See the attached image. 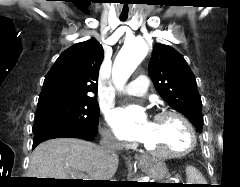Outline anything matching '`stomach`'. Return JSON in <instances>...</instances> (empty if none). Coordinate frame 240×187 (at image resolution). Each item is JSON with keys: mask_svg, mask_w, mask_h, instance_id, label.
Instances as JSON below:
<instances>
[{"mask_svg": "<svg viewBox=\"0 0 240 187\" xmlns=\"http://www.w3.org/2000/svg\"><path fill=\"white\" fill-rule=\"evenodd\" d=\"M142 168L146 170L152 178L161 181L168 175V168L163 161L150 158L142 165Z\"/></svg>", "mask_w": 240, "mask_h": 187, "instance_id": "stomach-1", "label": "stomach"}]
</instances>
